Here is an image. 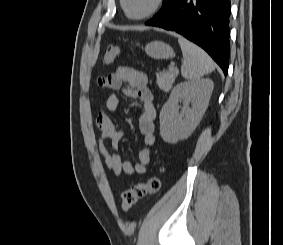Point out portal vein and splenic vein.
Wrapping results in <instances>:
<instances>
[{
	"instance_id": "obj_1",
	"label": "portal vein and splenic vein",
	"mask_w": 283,
	"mask_h": 245,
	"mask_svg": "<svg viewBox=\"0 0 283 245\" xmlns=\"http://www.w3.org/2000/svg\"><path fill=\"white\" fill-rule=\"evenodd\" d=\"M170 70H172V71H173V70H174V67H173V66H170Z\"/></svg>"
}]
</instances>
